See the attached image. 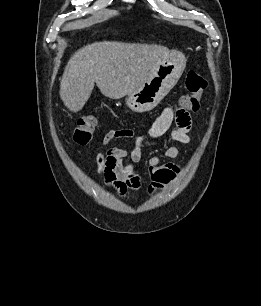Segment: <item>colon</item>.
I'll return each instance as SVG.
<instances>
[{"instance_id": "colon-1", "label": "colon", "mask_w": 261, "mask_h": 306, "mask_svg": "<svg viewBox=\"0 0 261 306\" xmlns=\"http://www.w3.org/2000/svg\"><path fill=\"white\" fill-rule=\"evenodd\" d=\"M185 86L187 93L179 99L178 110L196 111L199 108L201 97L206 89L204 78L196 71L187 74ZM97 121L93 115H83L78 121L73 132V139L79 145H87L93 137ZM104 156H100V165L103 164Z\"/></svg>"}]
</instances>
